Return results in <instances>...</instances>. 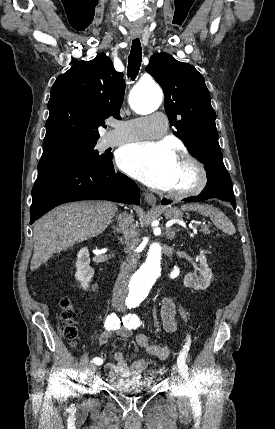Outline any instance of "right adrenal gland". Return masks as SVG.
I'll return each mask as SVG.
<instances>
[{"instance_id":"1","label":"right adrenal gland","mask_w":275,"mask_h":429,"mask_svg":"<svg viewBox=\"0 0 275 429\" xmlns=\"http://www.w3.org/2000/svg\"><path fill=\"white\" fill-rule=\"evenodd\" d=\"M113 232L114 233H120V229L118 228V227H116V226H113Z\"/></svg>"}]
</instances>
